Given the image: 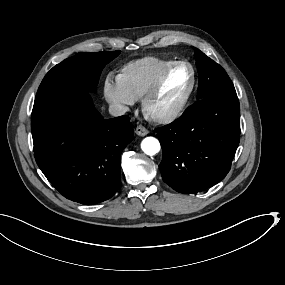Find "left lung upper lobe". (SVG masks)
<instances>
[{"mask_svg":"<svg viewBox=\"0 0 285 285\" xmlns=\"http://www.w3.org/2000/svg\"><path fill=\"white\" fill-rule=\"evenodd\" d=\"M199 75V99L214 94L236 93L235 88L224 69L200 50L194 54Z\"/></svg>","mask_w":285,"mask_h":285,"instance_id":"5c2ea615","label":"left lung upper lobe"}]
</instances>
